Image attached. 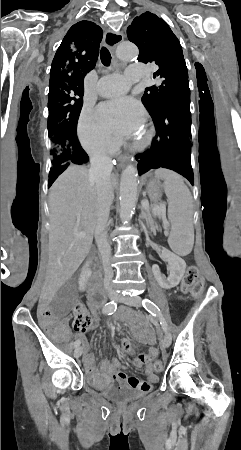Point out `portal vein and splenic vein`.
I'll return each mask as SVG.
<instances>
[{"label": "portal vein and splenic vein", "mask_w": 241, "mask_h": 450, "mask_svg": "<svg viewBox=\"0 0 241 450\" xmlns=\"http://www.w3.org/2000/svg\"><path fill=\"white\" fill-rule=\"evenodd\" d=\"M151 208V205L150 204H148L147 202H144L143 204H142V212L143 213H149V209ZM165 209V204L163 203V202H160V203H158V202H155L154 204H153V209H152V212L153 213H164V210ZM85 236H86V232H79V234H75V238H85Z\"/></svg>", "instance_id": "obj_1"}]
</instances>
